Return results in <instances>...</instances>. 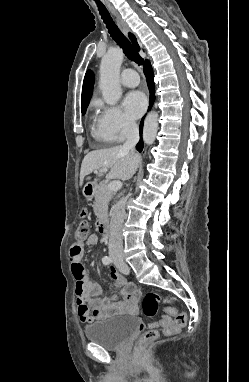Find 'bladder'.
I'll list each match as a JSON object with an SVG mask.
<instances>
[{
	"label": "bladder",
	"mask_w": 249,
	"mask_h": 382,
	"mask_svg": "<svg viewBox=\"0 0 249 382\" xmlns=\"http://www.w3.org/2000/svg\"><path fill=\"white\" fill-rule=\"evenodd\" d=\"M132 315L111 316L99 319L84 328L85 338L106 350H120L139 326Z\"/></svg>",
	"instance_id": "obj_1"
}]
</instances>
